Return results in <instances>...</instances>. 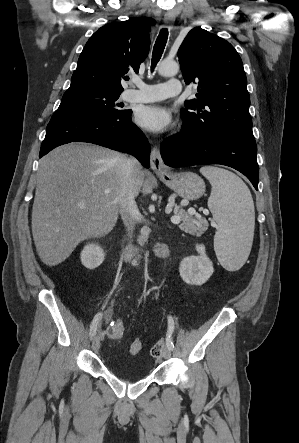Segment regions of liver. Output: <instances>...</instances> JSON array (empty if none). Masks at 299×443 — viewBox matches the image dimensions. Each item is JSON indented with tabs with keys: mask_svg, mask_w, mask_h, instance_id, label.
Segmentation results:
<instances>
[{
	"mask_svg": "<svg viewBox=\"0 0 299 443\" xmlns=\"http://www.w3.org/2000/svg\"><path fill=\"white\" fill-rule=\"evenodd\" d=\"M122 154L83 143L52 150L39 162L32 208V234L41 261L55 266L76 246L91 237L109 233L120 207ZM136 171L135 196L144 182ZM79 204L85 207L80 208Z\"/></svg>",
	"mask_w": 299,
	"mask_h": 443,
	"instance_id": "6515ba94",
	"label": "liver"
}]
</instances>
